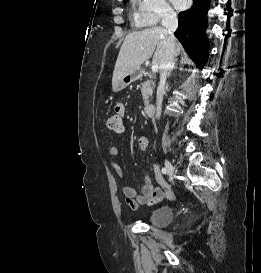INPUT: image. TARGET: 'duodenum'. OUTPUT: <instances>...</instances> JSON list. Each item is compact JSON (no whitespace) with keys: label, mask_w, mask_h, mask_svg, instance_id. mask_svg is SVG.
Returning <instances> with one entry per match:
<instances>
[{"label":"duodenum","mask_w":261,"mask_h":273,"mask_svg":"<svg viewBox=\"0 0 261 273\" xmlns=\"http://www.w3.org/2000/svg\"><path fill=\"white\" fill-rule=\"evenodd\" d=\"M154 112H155V106H154L153 103H147V104H145V106H144V113L147 116H153Z\"/></svg>","instance_id":"1"}]
</instances>
